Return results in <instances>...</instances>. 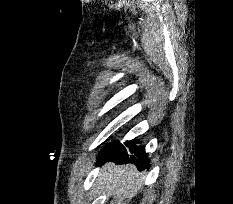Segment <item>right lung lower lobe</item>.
<instances>
[{
    "mask_svg": "<svg viewBox=\"0 0 233 204\" xmlns=\"http://www.w3.org/2000/svg\"><path fill=\"white\" fill-rule=\"evenodd\" d=\"M98 160V164L106 161H114L117 164L134 163L139 170L149 167V159L143 147H135L133 151L129 152L127 150L109 151L104 149Z\"/></svg>",
    "mask_w": 233,
    "mask_h": 204,
    "instance_id": "98d812e1",
    "label": "right lung lower lobe"
}]
</instances>
